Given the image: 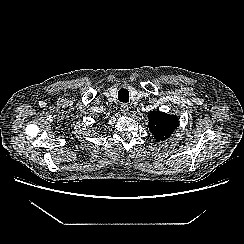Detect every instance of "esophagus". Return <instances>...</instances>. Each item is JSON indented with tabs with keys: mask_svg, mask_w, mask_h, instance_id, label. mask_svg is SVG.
Returning <instances> with one entry per match:
<instances>
[{
	"mask_svg": "<svg viewBox=\"0 0 244 244\" xmlns=\"http://www.w3.org/2000/svg\"><path fill=\"white\" fill-rule=\"evenodd\" d=\"M120 110L124 115H126L128 113L129 106L126 103H123L120 106Z\"/></svg>",
	"mask_w": 244,
	"mask_h": 244,
	"instance_id": "esophagus-1",
	"label": "esophagus"
}]
</instances>
